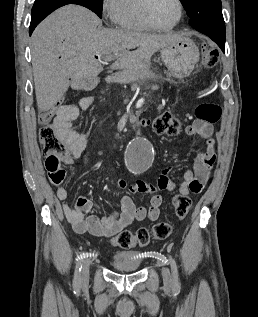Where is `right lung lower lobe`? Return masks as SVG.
I'll list each match as a JSON object with an SVG mask.
<instances>
[{
  "mask_svg": "<svg viewBox=\"0 0 258 317\" xmlns=\"http://www.w3.org/2000/svg\"><path fill=\"white\" fill-rule=\"evenodd\" d=\"M67 4H78L92 10L89 0H35L29 34L31 35L35 27L51 12Z\"/></svg>",
  "mask_w": 258,
  "mask_h": 317,
  "instance_id": "obj_1",
  "label": "right lung lower lobe"
}]
</instances>
